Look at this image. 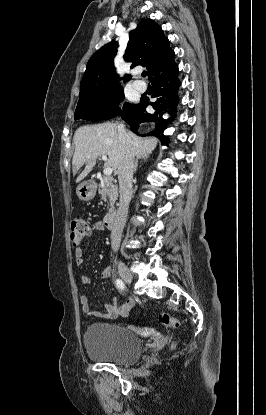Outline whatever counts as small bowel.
Wrapping results in <instances>:
<instances>
[{
  "label": "small bowel",
  "instance_id": "obj_1",
  "mask_svg": "<svg viewBox=\"0 0 266 415\" xmlns=\"http://www.w3.org/2000/svg\"><path fill=\"white\" fill-rule=\"evenodd\" d=\"M96 230H102L103 224L101 222H97L94 225ZM75 262L78 266H81L84 263L83 258V249L81 247H77L75 249ZM111 268L109 266L105 267L101 272L102 278H107L110 276ZM81 283L87 285L90 283V278L87 275L81 276ZM133 300L129 298L126 303L122 306H119L118 300L114 298L111 303H107L105 305V311H91L90 303L87 296L83 295L80 298V304L82 311L91 317L102 318V319H116L119 316H126L128 315L131 307L133 306Z\"/></svg>",
  "mask_w": 266,
  "mask_h": 415
}]
</instances>
